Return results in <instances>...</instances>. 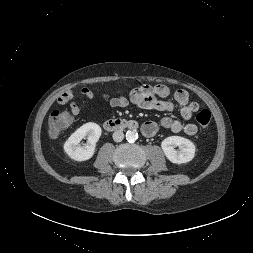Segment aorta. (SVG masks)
<instances>
[{
  "label": "aorta",
  "mask_w": 253,
  "mask_h": 253,
  "mask_svg": "<svg viewBox=\"0 0 253 253\" xmlns=\"http://www.w3.org/2000/svg\"><path fill=\"white\" fill-rule=\"evenodd\" d=\"M126 139L129 142H134L138 139V133L135 130H128L126 132Z\"/></svg>",
  "instance_id": "obj_1"
}]
</instances>
